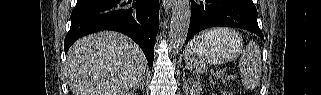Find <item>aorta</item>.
I'll return each mask as SVG.
<instances>
[{"label":"aorta","instance_id":"obj_1","mask_svg":"<svg viewBox=\"0 0 321 95\" xmlns=\"http://www.w3.org/2000/svg\"><path fill=\"white\" fill-rule=\"evenodd\" d=\"M191 19L190 0H174L169 32L170 50L178 53L185 42Z\"/></svg>","mask_w":321,"mask_h":95}]
</instances>
